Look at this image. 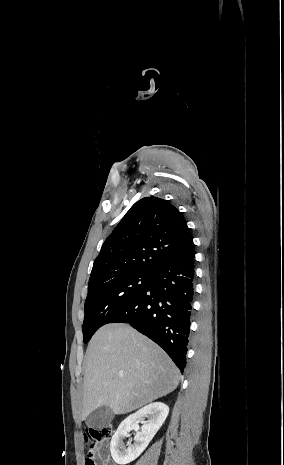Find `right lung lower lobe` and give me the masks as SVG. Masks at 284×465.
I'll use <instances>...</instances> for the list:
<instances>
[{
	"label": "right lung lower lobe",
	"mask_w": 284,
	"mask_h": 465,
	"mask_svg": "<svg viewBox=\"0 0 284 465\" xmlns=\"http://www.w3.org/2000/svg\"><path fill=\"white\" fill-rule=\"evenodd\" d=\"M194 244L161 266L145 288L108 323H129L171 357L183 373L193 312Z\"/></svg>",
	"instance_id": "98d812e1"
}]
</instances>
